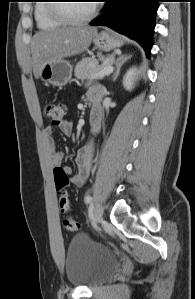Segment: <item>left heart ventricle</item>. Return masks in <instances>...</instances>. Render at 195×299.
I'll list each match as a JSON object with an SVG mask.
<instances>
[{
  "label": "left heart ventricle",
  "instance_id": "left-heart-ventricle-1",
  "mask_svg": "<svg viewBox=\"0 0 195 299\" xmlns=\"http://www.w3.org/2000/svg\"><path fill=\"white\" fill-rule=\"evenodd\" d=\"M92 5L93 2L91 1L70 2V3H66L65 11L72 16L83 17L90 12Z\"/></svg>",
  "mask_w": 195,
  "mask_h": 299
}]
</instances>
